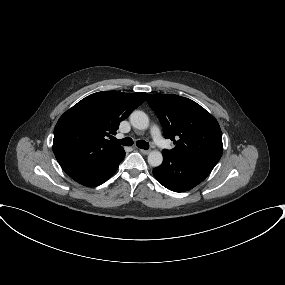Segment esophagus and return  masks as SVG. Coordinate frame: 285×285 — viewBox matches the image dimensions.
I'll return each mask as SVG.
<instances>
[{
	"label": "esophagus",
	"mask_w": 285,
	"mask_h": 285,
	"mask_svg": "<svg viewBox=\"0 0 285 285\" xmlns=\"http://www.w3.org/2000/svg\"><path fill=\"white\" fill-rule=\"evenodd\" d=\"M140 152L144 155H147L150 153V150L140 149Z\"/></svg>",
	"instance_id": "obj_1"
}]
</instances>
